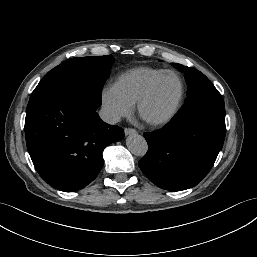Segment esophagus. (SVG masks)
I'll return each mask as SVG.
<instances>
[{"label":"esophagus","mask_w":257,"mask_h":257,"mask_svg":"<svg viewBox=\"0 0 257 257\" xmlns=\"http://www.w3.org/2000/svg\"><path fill=\"white\" fill-rule=\"evenodd\" d=\"M124 132H125V135H133L137 133V131L133 128H125Z\"/></svg>","instance_id":"34e87169"}]
</instances>
